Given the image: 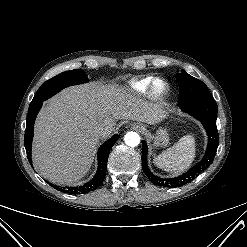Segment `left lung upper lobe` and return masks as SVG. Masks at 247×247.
Returning a JSON list of instances; mask_svg holds the SVG:
<instances>
[{
	"mask_svg": "<svg viewBox=\"0 0 247 247\" xmlns=\"http://www.w3.org/2000/svg\"><path fill=\"white\" fill-rule=\"evenodd\" d=\"M181 88L179 105L188 102L213 98L207 86L199 79L189 75L186 71H182L177 75Z\"/></svg>",
	"mask_w": 247,
	"mask_h": 247,
	"instance_id": "obj_1",
	"label": "left lung upper lobe"
}]
</instances>
